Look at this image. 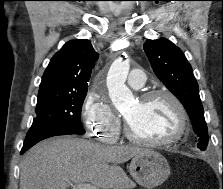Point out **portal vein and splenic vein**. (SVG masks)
<instances>
[{"instance_id":"1","label":"portal vein and splenic vein","mask_w":223,"mask_h":189,"mask_svg":"<svg viewBox=\"0 0 223 189\" xmlns=\"http://www.w3.org/2000/svg\"><path fill=\"white\" fill-rule=\"evenodd\" d=\"M72 189H98V187L89 184V183H83V184H70Z\"/></svg>"}]
</instances>
